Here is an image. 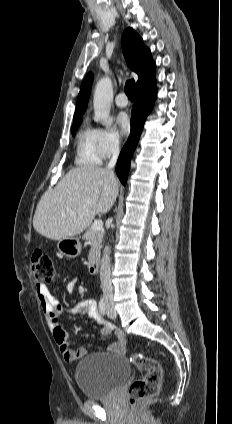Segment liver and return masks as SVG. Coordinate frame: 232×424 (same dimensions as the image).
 <instances>
[{
  "label": "liver",
  "mask_w": 232,
  "mask_h": 424,
  "mask_svg": "<svg viewBox=\"0 0 232 424\" xmlns=\"http://www.w3.org/2000/svg\"><path fill=\"white\" fill-rule=\"evenodd\" d=\"M118 181L105 168L81 166L70 170L41 197L33 218L44 237L61 240L80 234L97 214H106L118 195Z\"/></svg>",
  "instance_id": "obj_1"
}]
</instances>
